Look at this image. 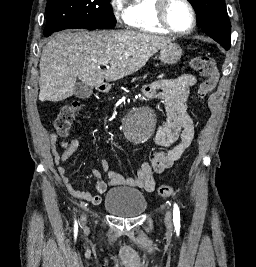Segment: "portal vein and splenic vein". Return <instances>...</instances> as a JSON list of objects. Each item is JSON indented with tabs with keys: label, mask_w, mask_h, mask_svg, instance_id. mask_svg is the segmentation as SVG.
Returning a JSON list of instances; mask_svg holds the SVG:
<instances>
[{
	"label": "portal vein and splenic vein",
	"mask_w": 256,
	"mask_h": 267,
	"mask_svg": "<svg viewBox=\"0 0 256 267\" xmlns=\"http://www.w3.org/2000/svg\"><path fill=\"white\" fill-rule=\"evenodd\" d=\"M100 64H103V66H107V62H100Z\"/></svg>",
	"instance_id": "18ae733b"
}]
</instances>
